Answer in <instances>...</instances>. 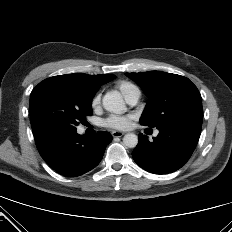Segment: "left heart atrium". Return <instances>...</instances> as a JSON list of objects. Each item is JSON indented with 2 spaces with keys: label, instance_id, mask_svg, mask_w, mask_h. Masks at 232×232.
<instances>
[{
  "label": "left heart atrium",
  "instance_id": "1",
  "mask_svg": "<svg viewBox=\"0 0 232 232\" xmlns=\"http://www.w3.org/2000/svg\"><path fill=\"white\" fill-rule=\"evenodd\" d=\"M131 116H110L104 120V125L108 128L123 130L130 126Z\"/></svg>",
  "mask_w": 232,
  "mask_h": 232
}]
</instances>
